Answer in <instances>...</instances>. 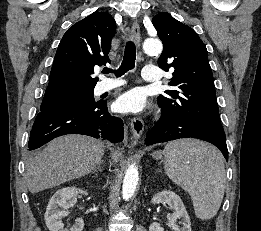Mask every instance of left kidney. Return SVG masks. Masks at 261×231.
<instances>
[{"label":"left kidney","instance_id":"left-kidney-1","mask_svg":"<svg viewBox=\"0 0 261 231\" xmlns=\"http://www.w3.org/2000/svg\"><path fill=\"white\" fill-rule=\"evenodd\" d=\"M153 204L156 203H166L174 209L172 214L167 215L168 226H170L174 231H191V222L186 211V208L181 200V198L170 190H164L155 194L151 200ZM177 219H182V227L180 228L176 222ZM149 231H164L161 225L157 222H153Z\"/></svg>","mask_w":261,"mask_h":231}]
</instances>
